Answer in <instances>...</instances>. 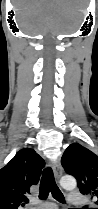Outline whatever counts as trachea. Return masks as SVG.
I'll return each mask as SVG.
<instances>
[{
    "instance_id": "1",
    "label": "trachea",
    "mask_w": 98,
    "mask_h": 209,
    "mask_svg": "<svg viewBox=\"0 0 98 209\" xmlns=\"http://www.w3.org/2000/svg\"><path fill=\"white\" fill-rule=\"evenodd\" d=\"M49 192H51L54 199H56L59 202H64V196L58 186L56 185L53 171L50 167L45 168L43 170L42 178L40 181V192H39V198L41 200H44L47 198Z\"/></svg>"
}]
</instances>
